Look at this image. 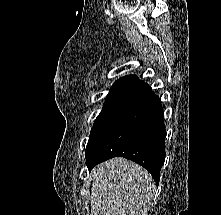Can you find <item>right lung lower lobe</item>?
Here are the masks:
<instances>
[{"mask_svg": "<svg viewBox=\"0 0 221 215\" xmlns=\"http://www.w3.org/2000/svg\"><path fill=\"white\" fill-rule=\"evenodd\" d=\"M163 109L153 91L134 99L94 151L86 157L87 167L113 157H124L143 166L158 184L165 160Z\"/></svg>", "mask_w": 221, "mask_h": 215, "instance_id": "obj_1", "label": "right lung lower lobe"}]
</instances>
